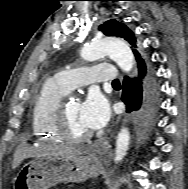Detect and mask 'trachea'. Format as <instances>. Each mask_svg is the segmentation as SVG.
<instances>
[{"label":"trachea","instance_id":"3493384b","mask_svg":"<svg viewBox=\"0 0 188 189\" xmlns=\"http://www.w3.org/2000/svg\"><path fill=\"white\" fill-rule=\"evenodd\" d=\"M112 84H120V82H119L118 79H116V80H114V81L112 82Z\"/></svg>","mask_w":188,"mask_h":189}]
</instances>
